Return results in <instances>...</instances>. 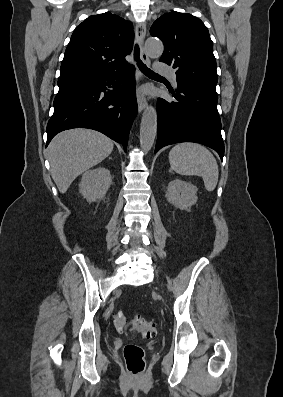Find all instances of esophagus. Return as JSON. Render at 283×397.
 <instances>
[{"mask_svg":"<svg viewBox=\"0 0 283 397\" xmlns=\"http://www.w3.org/2000/svg\"><path fill=\"white\" fill-rule=\"evenodd\" d=\"M136 38L141 48V59L144 63L150 64L149 57L144 49V39L146 35V26L144 23L138 22L135 27ZM137 104L139 112H142L147 106V100L144 96H137Z\"/></svg>","mask_w":283,"mask_h":397,"instance_id":"1","label":"esophagus"}]
</instances>
